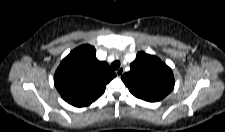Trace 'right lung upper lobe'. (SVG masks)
<instances>
[{
  "label": "right lung upper lobe",
  "mask_w": 225,
  "mask_h": 132,
  "mask_svg": "<svg viewBox=\"0 0 225 132\" xmlns=\"http://www.w3.org/2000/svg\"><path fill=\"white\" fill-rule=\"evenodd\" d=\"M93 46L82 45L71 51L60 63L54 84L62 98L75 107L88 106L105 91L116 74L106 62L95 56Z\"/></svg>",
  "instance_id": "1"
}]
</instances>
